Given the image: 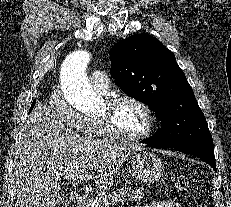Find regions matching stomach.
Listing matches in <instances>:
<instances>
[{
	"label": "stomach",
	"instance_id": "1",
	"mask_svg": "<svg viewBox=\"0 0 231 207\" xmlns=\"http://www.w3.org/2000/svg\"><path fill=\"white\" fill-rule=\"evenodd\" d=\"M162 160L150 151H137L131 154V173L143 183L156 182L163 176Z\"/></svg>",
	"mask_w": 231,
	"mask_h": 207
}]
</instances>
